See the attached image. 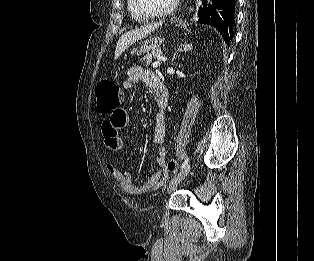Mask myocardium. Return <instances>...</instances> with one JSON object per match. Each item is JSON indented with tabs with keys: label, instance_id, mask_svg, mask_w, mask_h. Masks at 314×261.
I'll list each match as a JSON object with an SVG mask.
<instances>
[{
	"label": "myocardium",
	"instance_id": "myocardium-1",
	"mask_svg": "<svg viewBox=\"0 0 314 261\" xmlns=\"http://www.w3.org/2000/svg\"><path fill=\"white\" fill-rule=\"evenodd\" d=\"M134 1H135V7L138 10V12L147 18L166 17L174 12V10L177 8L180 2V0H173V2L168 8L161 11H151L142 5L141 0H134Z\"/></svg>",
	"mask_w": 314,
	"mask_h": 261
}]
</instances>
